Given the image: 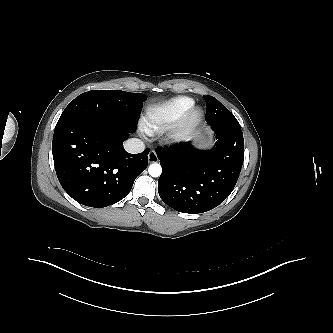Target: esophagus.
I'll list each match as a JSON object with an SVG mask.
<instances>
[{"mask_svg":"<svg viewBox=\"0 0 333 333\" xmlns=\"http://www.w3.org/2000/svg\"><path fill=\"white\" fill-rule=\"evenodd\" d=\"M148 161H149V163H156V162L159 161V158H158L155 151L152 150V151L149 152Z\"/></svg>","mask_w":333,"mask_h":333,"instance_id":"obj_1","label":"esophagus"}]
</instances>
